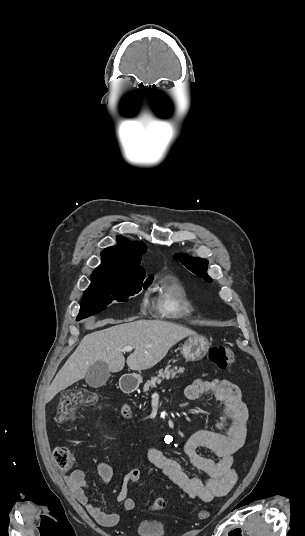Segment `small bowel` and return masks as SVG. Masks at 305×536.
Returning a JSON list of instances; mask_svg holds the SVG:
<instances>
[{"instance_id": "obj_1", "label": "small bowel", "mask_w": 305, "mask_h": 536, "mask_svg": "<svg viewBox=\"0 0 305 536\" xmlns=\"http://www.w3.org/2000/svg\"><path fill=\"white\" fill-rule=\"evenodd\" d=\"M214 395L221 404V416L215 423V430H198L183 443L174 438H165L164 443L173 449H181L189 462L206 477H190L182 465L174 458L165 455L158 447L147 450L148 461L163 472L175 485L180 487L191 499L211 502L217 497L227 495L237 482L233 468V457L244 444L248 435L249 414L242 399L240 389L225 379H196L185 389L187 400L194 401L202 395ZM202 448L212 453L216 459L197 453ZM97 472L104 484L113 477L111 466L100 462ZM65 481L74 497L85 507L89 515L103 527L118 524V513L103 512L88 496L89 486L83 469H75L65 476ZM116 500L122 502L123 510H134L136 503L128 497L127 475L123 479Z\"/></svg>"}]
</instances>
